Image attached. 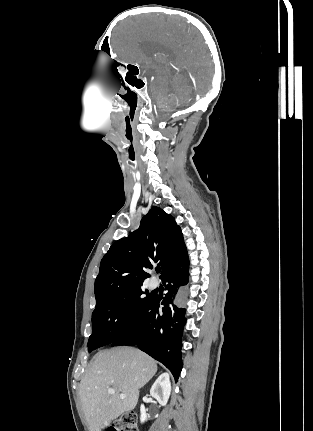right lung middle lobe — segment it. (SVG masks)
<instances>
[{"instance_id": "right-lung-middle-lobe-1", "label": "right lung middle lobe", "mask_w": 313, "mask_h": 431, "mask_svg": "<svg viewBox=\"0 0 313 431\" xmlns=\"http://www.w3.org/2000/svg\"><path fill=\"white\" fill-rule=\"evenodd\" d=\"M152 298L140 286L97 302L92 313L93 332L88 341L89 352L111 344L123 335L137 321Z\"/></svg>"}]
</instances>
